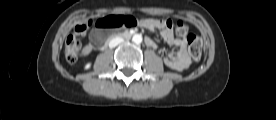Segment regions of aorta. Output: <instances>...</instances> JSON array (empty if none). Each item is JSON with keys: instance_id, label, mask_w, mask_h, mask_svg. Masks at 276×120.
<instances>
[{"instance_id": "1", "label": "aorta", "mask_w": 276, "mask_h": 120, "mask_svg": "<svg viewBox=\"0 0 276 120\" xmlns=\"http://www.w3.org/2000/svg\"><path fill=\"white\" fill-rule=\"evenodd\" d=\"M132 41L135 44H140L142 42V35L141 34H135V35H133Z\"/></svg>"}]
</instances>
